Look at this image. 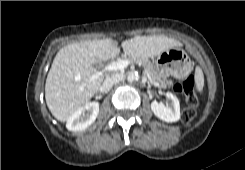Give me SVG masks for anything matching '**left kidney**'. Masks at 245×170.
Segmentation results:
<instances>
[{
  "instance_id": "1",
  "label": "left kidney",
  "mask_w": 245,
  "mask_h": 170,
  "mask_svg": "<svg viewBox=\"0 0 245 170\" xmlns=\"http://www.w3.org/2000/svg\"><path fill=\"white\" fill-rule=\"evenodd\" d=\"M166 97L171 100V106H165L161 102L153 101L151 110L159 119L165 122H177L180 119V103L178 98L170 93H166Z\"/></svg>"
}]
</instances>
